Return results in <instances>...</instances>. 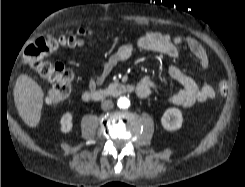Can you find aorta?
Listing matches in <instances>:
<instances>
[{
    "label": "aorta",
    "mask_w": 245,
    "mask_h": 187,
    "mask_svg": "<svg viewBox=\"0 0 245 187\" xmlns=\"http://www.w3.org/2000/svg\"><path fill=\"white\" fill-rule=\"evenodd\" d=\"M117 106L120 109H127L130 106V101L126 97H120L117 101Z\"/></svg>",
    "instance_id": "obj_1"
}]
</instances>
